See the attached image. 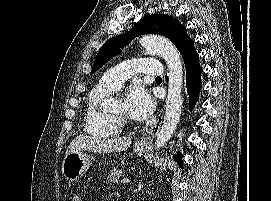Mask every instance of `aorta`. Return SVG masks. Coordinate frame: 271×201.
Listing matches in <instances>:
<instances>
[{"label":"aorta","mask_w":271,"mask_h":201,"mask_svg":"<svg viewBox=\"0 0 271 201\" xmlns=\"http://www.w3.org/2000/svg\"><path fill=\"white\" fill-rule=\"evenodd\" d=\"M139 42L147 52L159 54L164 59L168 69L169 82L165 116L155 142V148L159 150L171 139L180 121L183 103L181 94L183 67L177 48L165 37L145 35L140 38ZM111 101L112 99H109L105 104L109 105Z\"/></svg>","instance_id":"obj_1"}]
</instances>
